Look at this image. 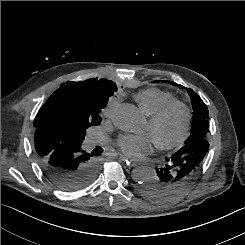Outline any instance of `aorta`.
I'll return each mask as SVG.
<instances>
[{
	"mask_svg": "<svg viewBox=\"0 0 245 245\" xmlns=\"http://www.w3.org/2000/svg\"><path fill=\"white\" fill-rule=\"evenodd\" d=\"M114 124L125 132L137 133L145 126V119L133 104L124 103L117 107L114 113ZM154 177V172L147 167H136L132 178L138 183H144Z\"/></svg>",
	"mask_w": 245,
	"mask_h": 245,
	"instance_id": "obj_1",
	"label": "aorta"
}]
</instances>
